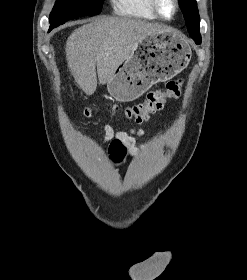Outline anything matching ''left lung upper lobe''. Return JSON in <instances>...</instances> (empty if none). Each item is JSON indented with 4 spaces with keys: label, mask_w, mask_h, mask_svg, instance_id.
Here are the masks:
<instances>
[{
    "label": "left lung upper lobe",
    "mask_w": 247,
    "mask_h": 280,
    "mask_svg": "<svg viewBox=\"0 0 247 280\" xmlns=\"http://www.w3.org/2000/svg\"><path fill=\"white\" fill-rule=\"evenodd\" d=\"M181 10L186 21V25L190 36L201 37L200 28V17L198 14L196 0H179Z\"/></svg>",
    "instance_id": "obj_1"
}]
</instances>
